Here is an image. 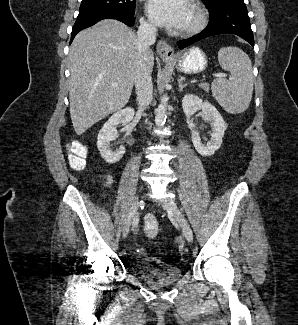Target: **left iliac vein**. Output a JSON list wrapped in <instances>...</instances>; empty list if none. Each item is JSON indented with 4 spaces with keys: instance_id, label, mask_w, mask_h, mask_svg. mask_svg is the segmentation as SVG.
Returning <instances> with one entry per match:
<instances>
[{
    "instance_id": "1",
    "label": "left iliac vein",
    "mask_w": 298,
    "mask_h": 325,
    "mask_svg": "<svg viewBox=\"0 0 298 325\" xmlns=\"http://www.w3.org/2000/svg\"><path fill=\"white\" fill-rule=\"evenodd\" d=\"M163 207L169 214H171L178 220V222L180 223V225L182 227V230H183L186 240L189 243H192V241H193L192 229H191L190 225L187 223V221L184 219V217L181 215L177 205L173 201L165 200V201H163Z\"/></svg>"
}]
</instances>
